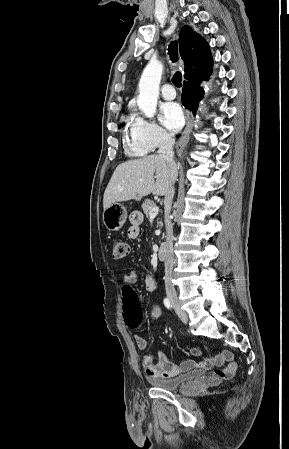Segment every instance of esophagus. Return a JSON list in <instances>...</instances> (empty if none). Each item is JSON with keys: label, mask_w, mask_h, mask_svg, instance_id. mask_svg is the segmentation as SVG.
<instances>
[{"label": "esophagus", "mask_w": 289, "mask_h": 449, "mask_svg": "<svg viewBox=\"0 0 289 449\" xmlns=\"http://www.w3.org/2000/svg\"><path fill=\"white\" fill-rule=\"evenodd\" d=\"M186 120H187V122H186L185 129L182 133L181 138L179 139V141L176 145V150L178 153H181L188 143L189 133L192 128V112L190 110H186Z\"/></svg>", "instance_id": "obj_1"}]
</instances>
